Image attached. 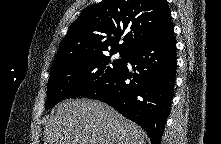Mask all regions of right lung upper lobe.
I'll return each instance as SVG.
<instances>
[{
  "label": "right lung upper lobe",
  "mask_w": 221,
  "mask_h": 144,
  "mask_svg": "<svg viewBox=\"0 0 221 144\" xmlns=\"http://www.w3.org/2000/svg\"><path fill=\"white\" fill-rule=\"evenodd\" d=\"M171 25L166 0H102L71 24L52 68L107 51L127 53Z\"/></svg>",
  "instance_id": "1"
}]
</instances>
